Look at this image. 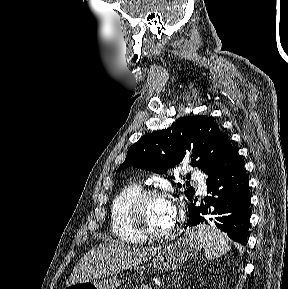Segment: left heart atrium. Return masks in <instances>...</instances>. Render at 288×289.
I'll return each mask as SVG.
<instances>
[{"label":"left heart atrium","instance_id":"left-heart-atrium-1","mask_svg":"<svg viewBox=\"0 0 288 289\" xmlns=\"http://www.w3.org/2000/svg\"><path fill=\"white\" fill-rule=\"evenodd\" d=\"M171 211H172V216L175 218V216H176V208L172 204H171Z\"/></svg>","mask_w":288,"mask_h":289}]
</instances>
